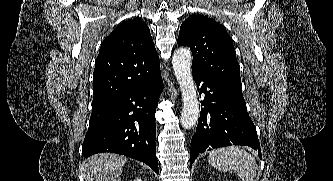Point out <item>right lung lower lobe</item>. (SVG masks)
Returning a JSON list of instances; mask_svg holds the SVG:
<instances>
[{
  "mask_svg": "<svg viewBox=\"0 0 333 181\" xmlns=\"http://www.w3.org/2000/svg\"><path fill=\"white\" fill-rule=\"evenodd\" d=\"M162 89L160 77L93 109L82 157L101 152L123 154L146 163L158 174L154 117Z\"/></svg>",
  "mask_w": 333,
  "mask_h": 181,
  "instance_id": "98d812e1",
  "label": "right lung lower lobe"
}]
</instances>
